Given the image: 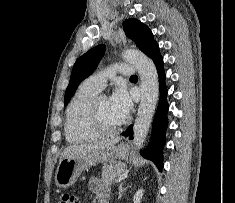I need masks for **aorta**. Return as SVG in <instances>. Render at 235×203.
I'll list each match as a JSON object with an SVG mask.
<instances>
[{
    "label": "aorta",
    "mask_w": 235,
    "mask_h": 203,
    "mask_svg": "<svg viewBox=\"0 0 235 203\" xmlns=\"http://www.w3.org/2000/svg\"><path fill=\"white\" fill-rule=\"evenodd\" d=\"M123 59L135 66L141 79V101L133 126V142L140 148L147 137L159 97L158 74L153 61L140 51L126 50Z\"/></svg>",
    "instance_id": "obj_1"
}]
</instances>
